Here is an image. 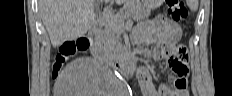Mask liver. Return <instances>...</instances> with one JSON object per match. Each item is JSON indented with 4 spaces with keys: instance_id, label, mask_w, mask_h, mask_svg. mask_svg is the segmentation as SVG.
Wrapping results in <instances>:
<instances>
[{
    "instance_id": "6515ba94",
    "label": "liver",
    "mask_w": 232,
    "mask_h": 96,
    "mask_svg": "<svg viewBox=\"0 0 232 96\" xmlns=\"http://www.w3.org/2000/svg\"><path fill=\"white\" fill-rule=\"evenodd\" d=\"M95 1L39 0V12L53 47L82 37L92 28L96 21ZM116 1L123 3L125 0Z\"/></svg>"
}]
</instances>
